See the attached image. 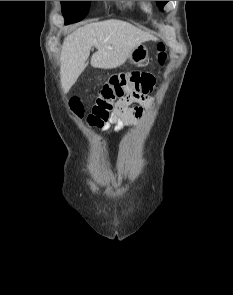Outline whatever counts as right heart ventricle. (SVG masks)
I'll return each mask as SVG.
<instances>
[{
	"instance_id": "1",
	"label": "right heart ventricle",
	"mask_w": 233,
	"mask_h": 295,
	"mask_svg": "<svg viewBox=\"0 0 233 295\" xmlns=\"http://www.w3.org/2000/svg\"><path fill=\"white\" fill-rule=\"evenodd\" d=\"M118 2L124 8L136 10V11H144L145 10L144 1H118Z\"/></svg>"
}]
</instances>
